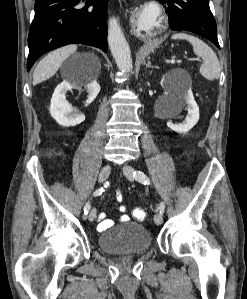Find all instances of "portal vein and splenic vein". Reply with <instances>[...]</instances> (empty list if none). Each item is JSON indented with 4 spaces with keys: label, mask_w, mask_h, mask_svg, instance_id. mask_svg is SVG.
<instances>
[{
    "label": "portal vein and splenic vein",
    "mask_w": 247,
    "mask_h": 299,
    "mask_svg": "<svg viewBox=\"0 0 247 299\" xmlns=\"http://www.w3.org/2000/svg\"><path fill=\"white\" fill-rule=\"evenodd\" d=\"M174 62H175V60H174V59H172V60H171V63H174Z\"/></svg>",
    "instance_id": "18ae733b"
}]
</instances>
